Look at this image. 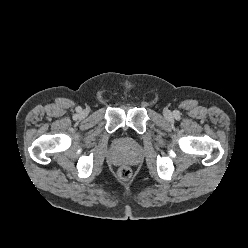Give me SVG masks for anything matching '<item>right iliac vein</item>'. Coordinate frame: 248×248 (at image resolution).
<instances>
[{
  "mask_svg": "<svg viewBox=\"0 0 248 248\" xmlns=\"http://www.w3.org/2000/svg\"><path fill=\"white\" fill-rule=\"evenodd\" d=\"M87 115V112L86 111H83L82 113H81V116H86Z\"/></svg>",
  "mask_w": 248,
  "mask_h": 248,
  "instance_id": "obj_1",
  "label": "right iliac vein"
}]
</instances>
